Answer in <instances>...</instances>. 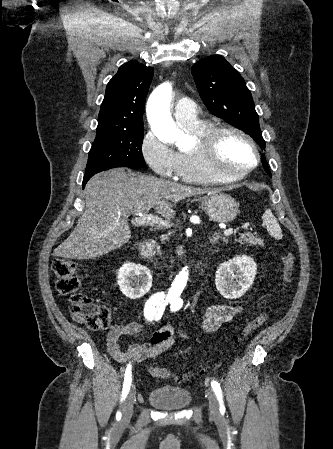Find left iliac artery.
Here are the masks:
<instances>
[{
    "label": "left iliac artery",
    "mask_w": 333,
    "mask_h": 449,
    "mask_svg": "<svg viewBox=\"0 0 333 449\" xmlns=\"http://www.w3.org/2000/svg\"><path fill=\"white\" fill-rule=\"evenodd\" d=\"M181 306H182V303L179 301L178 298H172L170 300L171 311H177V310H179L181 308ZM211 387H212V389H213V391H214V393H215V395H216V397H217V399L219 401L220 412L221 413L225 412V407H224V404H223V397H222V391H221L220 384L216 380H213L211 382Z\"/></svg>",
    "instance_id": "44dca946"
}]
</instances>
